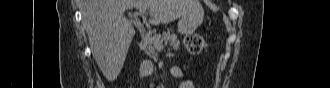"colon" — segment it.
Wrapping results in <instances>:
<instances>
[{"label": "colon", "instance_id": "1", "mask_svg": "<svg viewBox=\"0 0 330 88\" xmlns=\"http://www.w3.org/2000/svg\"><path fill=\"white\" fill-rule=\"evenodd\" d=\"M186 50L191 54H199L207 48L206 39L198 34H189L184 40Z\"/></svg>", "mask_w": 330, "mask_h": 88}]
</instances>
